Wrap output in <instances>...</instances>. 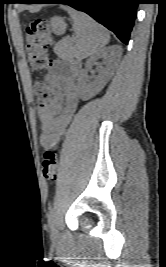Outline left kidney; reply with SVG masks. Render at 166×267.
<instances>
[{
    "instance_id": "1",
    "label": "left kidney",
    "mask_w": 166,
    "mask_h": 267,
    "mask_svg": "<svg viewBox=\"0 0 166 267\" xmlns=\"http://www.w3.org/2000/svg\"><path fill=\"white\" fill-rule=\"evenodd\" d=\"M108 59V50H103L94 54L86 63V67L97 65L99 67V75L92 83H86L87 73L82 71L78 77V90L80 97L86 101L97 95L107 84L111 76L110 64L106 62V66L98 63L99 59Z\"/></svg>"
}]
</instances>
